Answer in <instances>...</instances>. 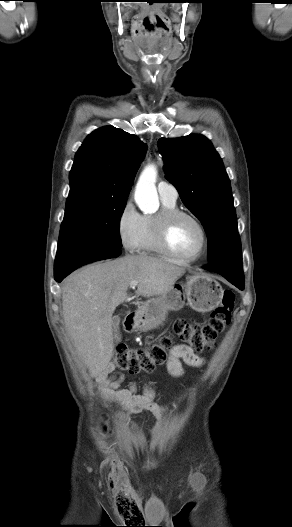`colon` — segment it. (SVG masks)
I'll use <instances>...</instances> for the list:
<instances>
[{
	"mask_svg": "<svg viewBox=\"0 0 292 527\" xmlns=\"http://www.w3.org/2000/svg\"><path fill=\"white\" fill-rule=\"evenodd\" d=\"M235 305V294L231 290H224L220 304L212 311L207 323H192L187 320H177L172 334L162 337L157 343L143 348H129L119 346L114 356V365L130 374L151 372L156 366L166 360V352L171 347L172 336H178L194 352H202L214 347L217 337L222 334L231 322V315ZM121 505L127 504L118 498ZM136 512L139 507L134 504Z\"/></svg>",
	"mask_w": 292,
	"mask_h": 527,
	"instance_id": "1",
	"label": "colon"
}]
</instances>
